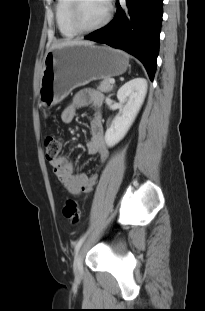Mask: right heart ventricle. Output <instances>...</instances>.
<instances>
[{
	"label": "right heart ventricle",
	"mask_w": 205,
	"mask_h": 311,
	"mask_svg": "<svg viewBox=\"0 0 205 311\" xmlns=\"http://www.w3.org/2000/svg\"><path fill=\"white\" fill-rule=\"evenodd\" d=\"M71 2L72 0H58L55 9L57 27L65 38H73L79 34L70 23L69 10Z\"/></svg>",
	"instance_id": "e07e8e85"
}]
</instances>
